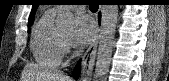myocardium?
Listing matches in <instances>:
<instances>
[{
    "mask_svg": "<svg viewBox=\"0 0 169 81\" xmlns=\"http://www.w3.org/2000/svg\"><path fill=\"white\" fill-rule=\"evenodd\" d=\"M60 39H61L62 47H67L68 46L67 38H65L63 35H61Z\"/></svg>",
    "mask_w": 169,
    "mask_h": 81,
    "instance_id": "f54148a6",
    "label": "myocardium"
}]
</instances>
